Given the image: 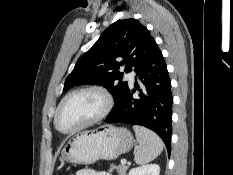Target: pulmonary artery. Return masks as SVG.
I'll return each instance as SVG.
<instances>
[{"instance_id":"pulmonary-artery-1","label":"pulmonary artery","mask_w":233,"mask_h":175,"mask_svg":"<svg viewBox=\"0 0 233 175\" xmlns=\"http://www.w3.org/2000/svg\"><path fill=\"white\" fill-rule=\"evenodd\" d=\"M127 78L130 82H133L136 79V73L134 71L128 73Z\"/></svg>"}]
</instances>
